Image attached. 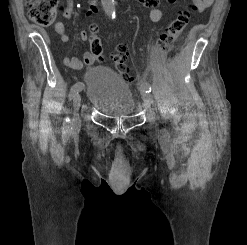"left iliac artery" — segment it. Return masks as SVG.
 Returning <instances> with one entry per match:
<instances>
[{
  "label": "left iliac artery",
  "mask_w": 247,
  "mask_h": 245,
  "mask_svg": "<svg viewBox=\"0 0 247 245\" xmlns=\"http://www.w3.org/2000/svg\"><path fill=\"white\" fill-rule=\"evenodd\" d=\"M141 87H144L146 89V92L150 93L151 92V86L147 81H142L141 82Z\"/></svg>",
  "instance_id": "left-iliac-artery-1"
}]
</instances>
